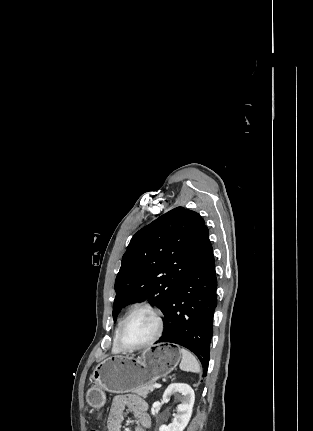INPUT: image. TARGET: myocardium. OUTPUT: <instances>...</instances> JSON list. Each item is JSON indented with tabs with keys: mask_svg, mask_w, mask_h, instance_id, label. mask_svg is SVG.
<instances>
[{
	"mask_svg": "<svg viewBox=\"0 0 313 431\" xmlns=\"http://www.w3.org/2000/svg\"><path fill=\"white\" fill-rule=\"evenodd\" d=\"M142 310L149 311L154 315L156 322H157L156 332L150 340H148L147 342H145L141 345L133 346V347L126 346L123 344V342L121 340L122 331H123L125 325L128 323V321L131 319V317L136 312L142 311ZM163 330H164V317H163L162 312L158 308H156L150 304L138 305V306H135L134 308H132L126 314L124 319L122 320V322L118 328L117 334H116V343L122 351L132 352V351L141 350V349L147 348V347L151 346L153 343H155L160 338V336L162 335Z\"/></svg>",
	"mask_w": 313,
	"mask_h": 431,
	"instance_id": "1",
	"label": "myocardium"
}]
</instances>
